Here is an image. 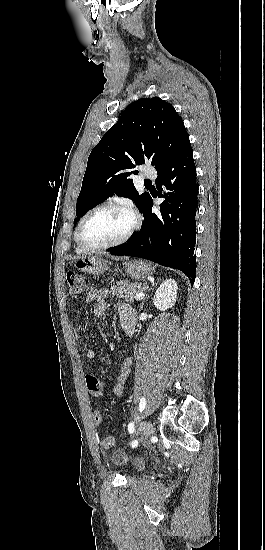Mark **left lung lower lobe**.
<instances>
[{
  "instance_id": "obj_1",
  "label": "left lung lower lobe",
  "mask_w": 265,
  "mask_h": 550,
  "mask_svg": "<svg viewBox=\"0 0 265 550\" xmlns=\"http://www.w3.org/2000/svg\"><path fill=\"white\" fill-rule=\"evenodd\" d=\"M157 174V188L162 190L164 186L168 190V194L160 195L167 198L161 205L162 217L152 213L151 199L143 214L141 230L128 243L110 248L109 252L117 256L141 257L179 269L193 285L198 184L190 142L184 144Z\"/></svg>"
}]
</instances>
